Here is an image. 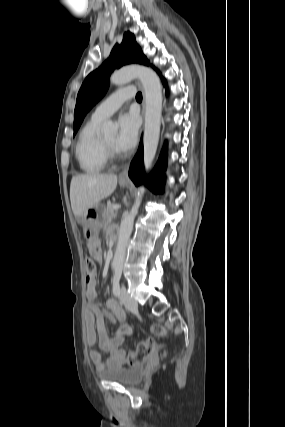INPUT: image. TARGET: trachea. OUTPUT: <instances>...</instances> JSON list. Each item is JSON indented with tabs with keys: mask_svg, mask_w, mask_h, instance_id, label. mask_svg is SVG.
<instances>
[{
	"mask_svg": "<svg viewBox=\"0 0 285 427\" xmlns=\"http://www.w3.org/2000/svg\"><path fill=\"white\" fill-rule=\"evenodd\" d=\"M136 99L137 100H142V94L140 92L137 93Z\"/></svg>",
	"mask_w": 285,
	"mask_h": 427,
	"instance_id": "trachea-1",
	"label": "trachea"
}]
</instances>
